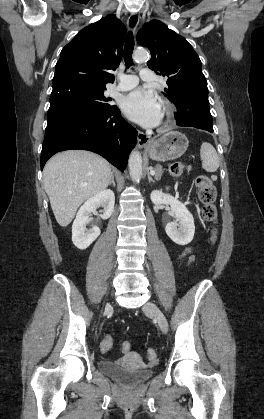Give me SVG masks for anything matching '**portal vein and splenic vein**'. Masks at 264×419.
I'll use <instances>...</instances> for the list:
<instances>
[{
	"label": "portal vein and splenic vein",
	"instance_id": "18ae733b",
	"mask_svg": "<svg viewBox=\"0 0 264 419\" xmlns=\"http://www.w3.org/2000/svg\"><path fill=\"white\" fill-rule=\"evenodd\" d=\"M150 173H151L152 175H155V171H154V170H152V169H150Z\"/></svg>",
	"mask_w": 264,
	"mask_h": 419
}]
</instances>
